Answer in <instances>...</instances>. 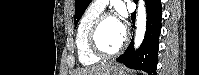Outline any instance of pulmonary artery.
Listing matches in <instances>:
<instances>
[{
  "label": "pulmonary artery",
  "instance_id": "pulmonary-artery-1",
  "mask_svg": "<svg viewBox=\"0 0 199 75\" xmlns=\"http://www.w3.org/2000/svg\"><path fill=\"white\" fill-rule=\"evenodd\" d=\"M108 1L106 0H98V1H93L92 5L103 10L106 5H107Z\"/></svg>",
  "mask_w": 199,
  "mask_h": 75
}]
</instances>
